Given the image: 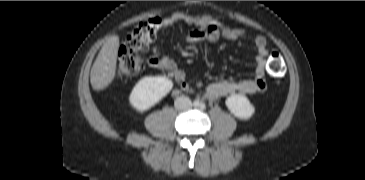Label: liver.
<instances>
[{
    "label": "liver",
    "instance_id": "1",
    "mask_svg": "<svg viewBox=\"0 0 365 180\" xmlns=\"http://www.w3.org/2000/svg\"><path fill=\"white\" fill-rule=\"evenodd\" d=\"M119 47L118 35L111 36L102 46L90 73V82L94 90H103L113 81L116 74Z\"/></svg>",
    "mask_w": 365,
    "mask_h": 180
}]
</instances>
